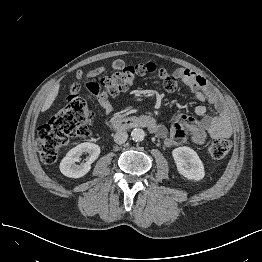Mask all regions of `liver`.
<instances>
[{
  "label": "liver",
  "mask_w": 262,
  "mask_h": 262,
  "mask_svg": "<svg viewBox=\"0 0 262 262\" xmlns=\"http://www.w3.org/2000/svg\"><path fill=\"white\" fill-rule=\"evenodd\" d=\"M59 88H60V85L59 84H56L53 89L50 91V93L48 94L44 104H43V107H42V112L48 110L51 105L53 104L55 98L57 97L58 95V92H59Z\"/></svg>",
  "instance_id": "obj_1"
}]
</instances>
